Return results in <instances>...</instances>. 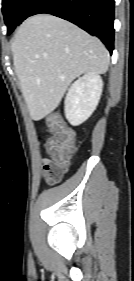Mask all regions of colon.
I'll use <instances>...</instances> for the list:
<instances>
[{
    "label": "colon",
    "mask_w": 134,
    "mask_h": 281,
    "mask_svg": "<svg viewBox=\"0 0 134 281\" xmlns=\"http://www.w3.org/2000/svg\"><path fill=\"white\" fill-rule=\"evenodd\" d=\"M47 123L52 133L47 141V151L52 160L66 170L75 150L74 132L67 127L63 119L57 114L50 115Z\"/></svg>",
    "instance_id": "1"
}]
</instances>
